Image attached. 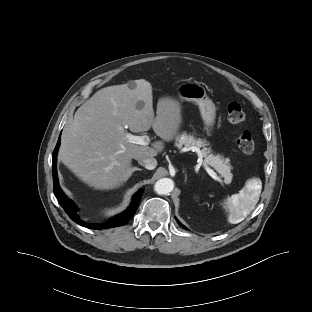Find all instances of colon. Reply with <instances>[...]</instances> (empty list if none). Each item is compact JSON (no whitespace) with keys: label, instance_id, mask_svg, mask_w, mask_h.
I'll list each match as a JSON object with an SVG mask.
<instances>
[{"label":"colon","instance_id":"obj_1","mask_svg":"<svg viewBox=\"0 0 312 312\" xmlns=\"http://www.w3.org/2000/svg\"><path fill=\"white\" fill-rule=\"evenodd\" d=\"M227 118L231 124L240 125L245 120V112L238 102H231L227 107ZM239 149L246 154H250L255 149V143L251 133L243 130L237 139Z\"/></svg>","mask_w":312,"mask_h":312}]
</instances>
